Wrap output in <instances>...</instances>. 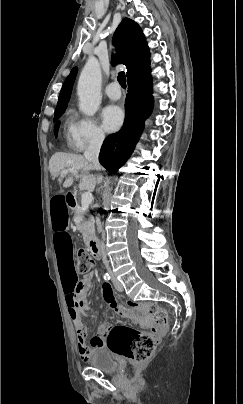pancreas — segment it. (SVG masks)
<instances>
[{"mask_svg":"<svg viewBox=\"0 0 243 404\" xmlns=\"http://www.w3.org/2000/svg\"><path fill=\"white\" fill-rule=\"evenodd\" d=\"M75 226L80 230L85 244L90 242L92 236H94V226L90 222H86L83 210L81 208H75V214L73 218Z\"/></svg>","mask_w":243,"mask_h":404,"instance_id":"1","label":"pancreas"}]
</instances>
